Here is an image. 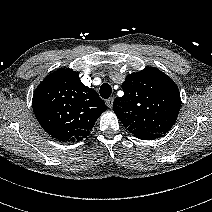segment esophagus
Masks as SVG:
<instances>
[{"instance_id":"34e87169","label":"esophagus","mask_w":212,"mask_h":212,"mask_svg":"<svg viewBox=\"0 0 212 212\" xmlns=\"http://www.w3.org/2000/svg\"><path fill=\"white\" fill-rule=\"evenodd\" d=\"M113 102H114V98L111 97V98H109V99L106 100V105H107L109 108H112Z\"/></svg>"}]
</instances>
